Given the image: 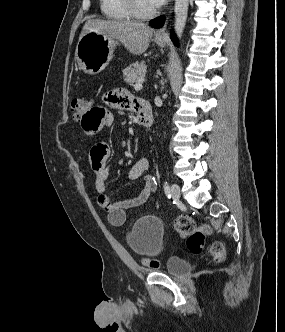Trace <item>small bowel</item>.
<instances>
[{"instance_id":"obj_1","label":"small bowel","mask_w":285,"mask_h":332,"mask_svg":"<svg viewBox=\"0 0 285 332\" xmlns=\"http://www.w3.org/2000/svg\"><path fill=\"white\" fill-rule=\"evenodd\" d=\"M108 106H90L89 111H83L78 115V122L83 126V132L90 135L103 133L104 126L112 123V112L110 108L130 110L138 112L137 100L128 95L124 90L117 89L105 95ZM110 156V147L103 142L94 144L90 150L91 166L95 173L94 187L98 194L97 202L104 212L107 213L108 221L113 226H121L125 223L128 210L139 207L146 203L156 190L154 177L146 175L143 185L136 196L121 201H112L107 194V182L109 178V167L107 160ZM149 167L146 157L138 159L129 171V179L134 181L140 178Z\"/></svg>"}]
</instances>
